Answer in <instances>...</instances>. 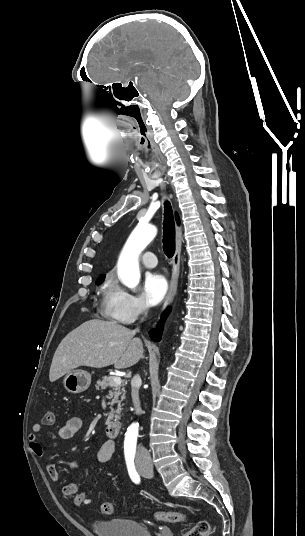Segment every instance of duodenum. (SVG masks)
Returning <instances> with one entry per match:
<instances>
[{"mask_svg":"<svg viewBox=\"0 0 305 536\" xmlns=\"http://www.w3.org/2000/svg\"><path fill=\"white\" fill-rule=\"evenodd\" d=\"M122 432V425L119 422H112L106 425L105 433L109 437H117Z\"/></svg>","mask_w":305,"mask_h":536,"instance_id":"obj_1","label":"duodenum"}]
</instances>
